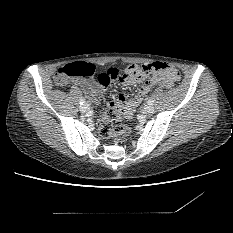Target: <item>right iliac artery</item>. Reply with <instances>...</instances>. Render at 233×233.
Masks as SVG:
<instances>
[{
    "mask_svg": "<svg viewBox=\"0 0 233 233\" xmlns=\"http://www.w3.org/2000/svg\"><path fill=\"white\" fill-rule=\"evenodd\" d=\"M79 103H80V105H83V104L85 103V100H84L83 98H81V99L79 100Z\"/></svg>",
    "mask_w": 233,
    "mask_h": 233,
    "instance_id": "right-iliac-artery-1",
    "label": "right iliac artery"
}]
</instances>
